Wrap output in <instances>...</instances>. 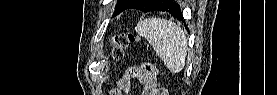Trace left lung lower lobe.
Here are the masks:
<instances>
[{"mask_svg":"<svg viewBox=\"0 0 277 95\" xmlns=\"http://www.w3.org/2000/svg\"><path fill=\"white\" fill-rule=\"evenodd\" d=\"M151 2L152 0H134L126 9L134 8V9H139L143 12L154 11V10L167 11L175 18L182 20V15L180 12L179 5L174 3L172 0H165L161 5H159L156 8L154 7L151 8L152 6Z\"/></svg>","mask_w":277,"mask_h":95,"instance_id":"obj_1","label":"left lung lower lobe"}]
</instances>
